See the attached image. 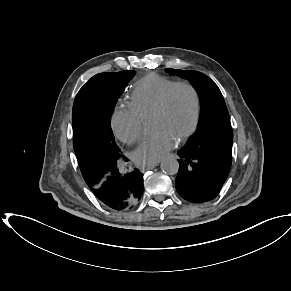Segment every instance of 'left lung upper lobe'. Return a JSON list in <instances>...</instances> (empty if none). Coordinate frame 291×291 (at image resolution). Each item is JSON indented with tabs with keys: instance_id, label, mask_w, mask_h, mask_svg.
I'll return each instance as SVG.
<instances>
[{
	"instance_id": "obj_1",
	"label": "left lung upper lobe",
	"mask_w": 291,
	"mask_h": 291,
	"mask_svg": "<svg viewBox=\"0 0 291 291\" xmlns=\"http://www.w3.org/2000/svg\"><path fill=\"white\" fill-rule=\"evenodd\" d=\"M166 72L190 81L200 98L198 128L183 149L231 162L233 132L229 113L218 86L198 71L167 68Z\"/></svg>"
}]
</instances>
